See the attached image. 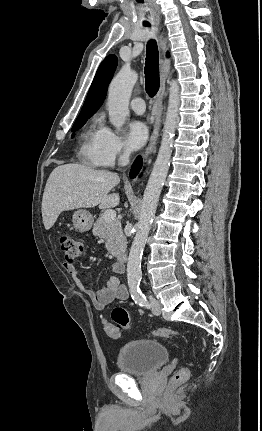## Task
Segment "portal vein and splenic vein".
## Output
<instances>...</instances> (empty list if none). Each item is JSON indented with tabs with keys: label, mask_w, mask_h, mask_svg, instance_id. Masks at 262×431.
<instances>
[{
	"label": "portal vein and splenic vein",
	"mask_w": 262,
	"mask_h": 431,
	"mask_svg": "<svg viewBox=\"0 0 262 431\" xmlns=\"http://www.w3.org/2000/svg\"><path fill=\"white\" fill-rule=\"evenodd\" d=\"M116 217V212L114 210H107L104 213V219L109 222V221H113Z\"/></svg>",
	"instance_id": "portal-vein-and-splenic-vein-1"
}]
</instances>
